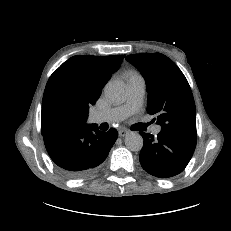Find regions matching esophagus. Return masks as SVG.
Wrapping results in <instances>:
<instances>
[{"label":"esophagus","mask_w":231,"mask_h":231,"mask_svg":"<svg viewBox=\"0 0 231 231\" xmlns=\"http://www.w3.org/2000/svg\"><path fill=\"white\" fill-rule=\"evenodd\" d=\"M118 133L120 137H125L129 133V131L126 129H120Z\"/></svg>","instance_id":"34e87169"}]
</instances>
